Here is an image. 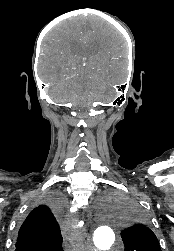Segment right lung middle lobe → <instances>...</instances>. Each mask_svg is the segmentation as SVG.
Listing matches in <instances>:
<instances>
[{"label": "right lung middle lobe", "instance_id": "1", "mask_svg": "<svg viewBox=\"0 0 174 251\" xmlns=\"http://www.w3.org/2000/svg\"><path fill=\"white\" fill-rule=\"evenodd\" d=\"M62 196L58 193H49L42 200V204H48L52 206L55 210L59 211L62 205Z\"/></svg>", "mask_w": 174, "mask_h": 251}]
</instances>
